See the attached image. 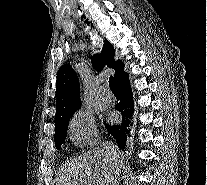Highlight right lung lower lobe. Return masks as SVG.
<instances>
[{"instance_id":"98d812e1","label":"right lung lower lobe","mask_w":207,"mask_h":185,"mask_svg":"<svg viewBox=\"0 0 207 185\" xmlns=\"http://www.w3.org/2000/svg\"><path fill=\"white\" fill-rule=\"evenodd\" d=\"M116 86L119 92L120 102L116 104V110L120 111L122 114L121 124L114 126L105 123V127L108 132L116 139L119 147L124 149L127 139V134L131 130L132 126V114L134 111L133 106V95L131 93V88L129 84L128 76L116 82Z\"/></svg>"}]
</instances>
